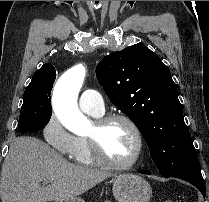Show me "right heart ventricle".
Returning <instances> with one entry per match:
<instances>
[{
    "label": "right heart ventricle",
    "mask_w": 209,
    "mask_h": 202,
    "mask_svg": "<svg viewBox=\"0 0 209 202\" xmlns=\"http://www.w3.org/2000/svg\"><path fill=\"white\" fill-rule=\"evenodd\" d=\"M91 115L96 116V117L100 116V115H94V114H91ZM68 156L72 161L81 165L91 166L95 163V159L92 156V153L90 151V148H89V145L85 136L75 137L73 148L70 151Z\"/></svg>",
    "instance_id": "1"
}]
</instances>
